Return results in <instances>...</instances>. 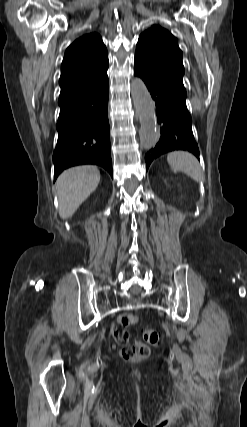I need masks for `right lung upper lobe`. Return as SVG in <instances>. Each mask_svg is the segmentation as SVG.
Listing matches in <instances>:
<instances>
[{
  "label": "right lung upper lobe",
  "instance_id": "cb5924a9",
  "mask_svg": "<svg viewBox=\"0 0 247 427\" xmlns=\"http://www.w3.org/2000/svg\"><path fill=\"white\" fill-rule=\"evenodd\" d=\"M108 52L97 33L83 35L66 50L61 65V92L86 86L107 74Z\"/></svg>",
  "mask_w": 247,
  "mask_h": 427
}]
</instances>
